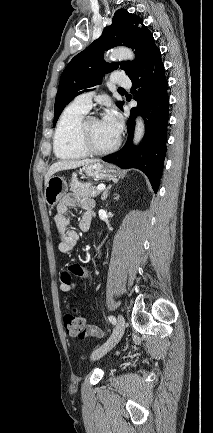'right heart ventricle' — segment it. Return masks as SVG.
Masks as SVG:
<instances>
[{
    "instance_id": "1",
    "label": "right heart ventricle",
    "mask_w": 213,
    "mask_h": 433,
    "mask_svg": "<svg viewBox=\"0 0 213 433\" xmlns=\"http://www.w3.org/2000/svg\"><path fill=\"white\" fill-rule=\"evenodd\" d=\"M86 113V110L71 103L61 114L53 140L54 153L58 158L79 159L87 156L77 139L78 126Z\"/></svg>"
}]
</instances>
